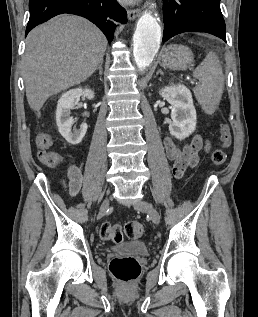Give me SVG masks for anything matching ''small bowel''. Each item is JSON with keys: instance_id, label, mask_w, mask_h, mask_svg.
Wrapping results in <instances>:
<instances>
[{"instance_id": "1", "label": "small bowel", "mask_w": 258, "mask_h": 317, "mask_svg": "<svg viewBox=\"0 0 258 317\" xmlns=\"http://www.w3.org/2000/svg\"><path fill=\"white\" fill-rule=\"evenodd\" d=\"M36 144L39 151L49 150L53 145V138L47 132H40L36 136ZM211 148V142L200 135H195L184 145L178 144L171 137L164 139V149L168 159L173 162L172 172L177 179H180L188 169L195 167L200 161L201 153H209ZM81 185V170L74 164L68 165L65 188L71 196H75Z\"/></svg>"}]
</instances>
